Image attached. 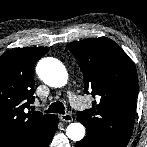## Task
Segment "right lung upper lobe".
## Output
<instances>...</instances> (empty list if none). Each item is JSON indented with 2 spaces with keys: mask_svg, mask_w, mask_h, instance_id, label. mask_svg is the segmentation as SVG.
Returning a JSON list of instances; mask_svg holds the SVG:
<instances>
[{
  "mask_svg": "<svg viewBox=\"0 0 147 147\" xmlns=\"http://www.w3.org/2000/svg\"><path fill=\"white\" fill-rule=\"evenodd\" d=\"M48 47L14 48L0 57V147H18L49 127L54 115L30 111L34 66Z\"/></svg>",
  "mask_w": 147,
  "mask_h": 147,
  "instance_id": "1",
  "label": "right lung upper lobe"
}]
</instances>
